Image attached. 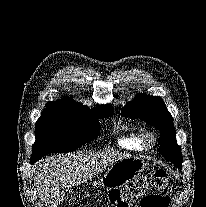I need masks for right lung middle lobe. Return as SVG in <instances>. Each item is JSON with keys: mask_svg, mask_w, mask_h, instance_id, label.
<instances>
[{"mask_svg": "<svg viewBox=\"0 0 206 207\" xmlns=\"http://www.w3.org/2000/svg\"><path fill=\"white\" fill-rule=\"evenodd\" d=\"M111 115L112 109L86 112L46 107L36 123V141L32 148V158L74 151L98 136L100 125L97 119Z\"/></svg>", "mask_w": 206, "mask_h": 207, "instance_id": "obj_1", "label": "right lung middle lobe"}]
</instances>
